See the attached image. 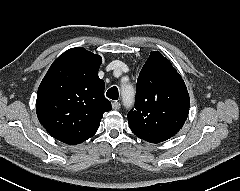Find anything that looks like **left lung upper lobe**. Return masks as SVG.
<instances>
[{"label": "left lung upper lobe", "instance_id": "5c2ea615", "mask_svg": "<svg viewBox=\"0 0 240 191\" xmlns=\"http://www.w3.org/2000/svg\"><path fill=\"white\" fill-rule=\"evenodd\" d=\"M189 106L181 75L160 52H151L137 80L135 110L128 113L132 132L151 143L165 141L182 128Z\"/></svg>", "mask_w": 240, "mask_h": 191}]
</instances>
